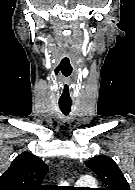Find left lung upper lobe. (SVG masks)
Segmentation results:
<instances>
[{
	"label": "left lung upper lobe",
	"instance_id": "obj_1",
	"mask_svg": "<svg viewBox=\"0 0 135 190\" xmlns=\"http://www.w3.org/2000/svg\"><path fill=\"white\" fill-rule=\"evenodd\" d=\"M106 185L103 190H130V186L117 164L107 156L94 157L85 162Z\"/></svg>",
	"mask_w": 135,
	"mask_h": 190
}]
</instances>
